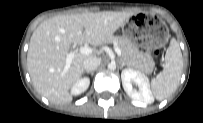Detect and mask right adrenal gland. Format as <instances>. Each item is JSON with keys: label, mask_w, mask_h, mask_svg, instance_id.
Wrapping results in <instances>:
<instances>
[{"label": "right adrenal gland", "mask_w": 203, "mask_h": 123, "mask_svg": "<svg viewBox=\"0 0 203 123\" xmlns=\"http://www.w3.org/2000/svg\"><path fill=\"white\" fill-rule=\"evenodd\" d=\"M87 74H91V76L94 75V71H85Z\"/></svg>", "instance_id": "2a0ac1e0"}]
</instances>
